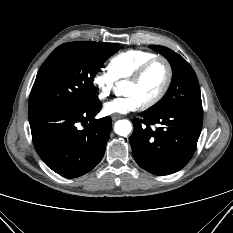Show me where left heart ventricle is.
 Instances as JSON below:
<instances>
[{"instance_id":"left-heart-ventricle-1","label":"left heart ventricle","mask_w":233,"mask_h":233,"mask_svg":"<svg viewBox=\"0 0 233 233\" xmlns=\"http://www.w3.org/2000/svg\"><path fill=\"white\" fill-rule=\"evenodd\" d=\"M166 66L162 61L155 62L137 84L127 82L124 93L136 95L142 103L154 98L164 85L166 79Z\"/></svg>"}]
</instances>
